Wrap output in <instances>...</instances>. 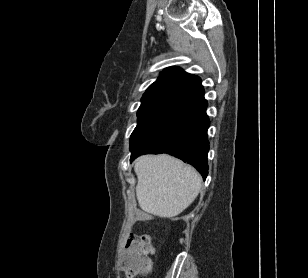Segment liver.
Instances as JSON below:
<instances>
[{
    "instance_id": "1",
    "label": "liver",
    "mask_w": 308,
    "mask_h": 278,
    "mask_svg": "<svg viewBox=\"0 0 308 278\" xmlns=\"http://www.w3.org/2000/svg\"><path fill=\"white\" fill-rule=\"evenodd\" d=\"M136 196L147 213L171 218L183 212L198 196L202 178L197 171L167 154L144 155L134 166Z\"/></svg>"
}]
</instances>
